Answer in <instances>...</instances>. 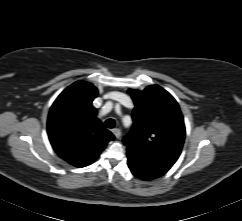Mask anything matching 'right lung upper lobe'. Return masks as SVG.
I'll use <instances>...</instances> for the list:
<instances>
[{"mask_svg":"<svg viewBox=\"0 0 242 221\" xmlns=\"http://www.w3.org/2000/svg\"><path fill=\"white\" fill-rule=\"evenodd\" d=\"M98 95L96 87L77 81L67 87L53 103L47 122L48 136L56 153L69 164H91L115 139L97 119L92 106Z\"/></svg>","mask_w":242,"mask_h":221,"instance_id":"cb5924a9","label":"right lung upper lobe"}]
</instances>
